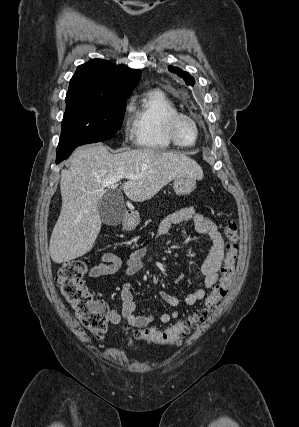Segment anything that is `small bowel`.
<instances>
[{"instance_id": "small-bowel-1", "label": "small bowel", "mask_w": 299, "mask_h": 427, "mask_svg": "<svg viewBox=\"0 0 299 427\" xmlns=\"http://www.w3.org/2000/svg\"><path fill=\"white\" fill-rule=\"evenodd\" d=\"M185 222H191L195 230L199 234L208 236L211 242L208 256L201 266V274L198 277L204 288L196 289L184 298V303L187 306H193L204 299L206 295L205 289L212 288L218 280V273L224 260V242L215 222L197 211L193 206H184L168 214L159 225L158 236L162 237L166 235L172 227ZM146 255L147 249L139 248L131 252L129 258L123 262L116 254L105 253L100 263L89 270L88 276L90 278H97L102 275L113 274L120 269H124L128 275H135L143 268ZM181 279L182 276L178 280ZM131 288L132 285L130 282L123 283L120 290L122 309L121 311L110 310L108 314L109 321L112 324H119L126 321L130 326L135 328H145L155 320V317L153 315L144 316L135 314L136 304L133 300ZM160 296L173 308L181 304V300L169 292L162 291ZM179 316V311L174 309L169 313L161 314L159 320L162 323H167L177 319Z\"/></svg>"}]
</instances>
